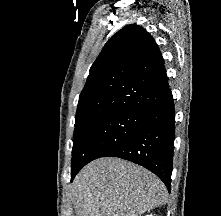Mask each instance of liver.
<instances>
[{
  "instance_id": "obj_1",
  "label": "liver",
  "mask_w": 221,
  "mask_h": 216,
  "mask_svg": "<svg viewBox=\"0 0 221 216\" xmlns=\"http://www.w3.org/2000/svg\"><path fill=\"white\" fill-rule=\"evenodd\" d=\"M167 198L157 176L119 158L92 161L73 183L76 216H141L165 204Z\"/></svg>"
}]
</instances>
